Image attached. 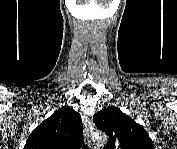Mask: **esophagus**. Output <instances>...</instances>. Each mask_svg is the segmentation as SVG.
<instances>
[{
    "label": "esophagus",
    "mask_w": 177,
    "mask_h": 149,
    "mask_svg": "<svg viewBox=\"0 0 177 149\" xmlns=\"http://www.w3.org/2000/svg\"><path fill=\"white\" fill-rule=\"evenodd\" d=\"M84 125V137L89 146L92 145V131L94 130L93 123L89 120H83Z\"/></svg>",
    "instance_id": "1"
}]
</instances>
